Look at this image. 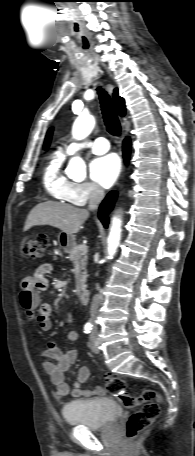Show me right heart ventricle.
Returning a JSON list of instances; mask_svg holds the SVG:
<instances>
[{
    "label": "right heart ventricle",
    "mask_w": 195,
    "mask_h": 456,
    "mask_svg": "<svg viewBox=\"0 0 195 456\" xmlns=\"http://www.w3.org/2000/svg\"><path fill=\"white\" fill-rule=\"evenodd\" d=\"M64 159L65 155L61 151L55 152L50 157L43 170L42 183L46 192L54 199L68 202V189L71 182L61 170Z\"/></svg>",
    "instance_id": "right-heart-ventricle-1"
}]
</instances>
